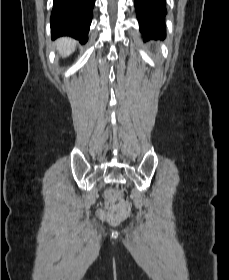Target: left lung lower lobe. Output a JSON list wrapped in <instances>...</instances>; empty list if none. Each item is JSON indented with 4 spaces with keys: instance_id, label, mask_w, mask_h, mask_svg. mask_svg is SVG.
I'll use <instances>...</instances> for the list:
<instances>
[{
    "instance_id": "obj_1",
    "label": "left lung lower lobe",
    "mask_w": 229,
    "mask_h": 280,
    "mask_svg": "<svg viewBox=\"0 0 229 280\" xmlns=\"http://www.w3.org/2000/svg\"><path fill=\"white\" fill-rule=\"evenodd\" d=\"M142 35L146 38H165V0H134Z\"/></svg>"
}]
</instances>
